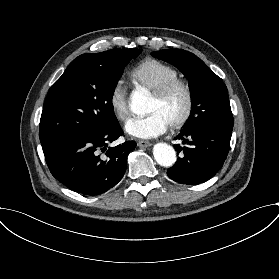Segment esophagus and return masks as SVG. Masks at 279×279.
<instances>
[{"mask_svg":"<svg viewBox=\"0 0 279 279\" xmlns=\"http://www.w3.org/2000/svg\"><path fill=\"white\" fill-rule=\"evenodd\" d=\"M137 145H138L139 147L147 148V147L151 146V143L148 142V141L139 140V141L137 142Z\"/></svg>","mask_w":279,"mask_h":279,"instance_id":"obj_1","label":"esophagus"}]
</instances>
